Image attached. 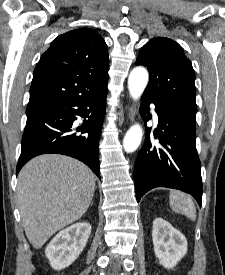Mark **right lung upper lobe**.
Wrapping results in <instances>:
<instances>
[{
  "mask_svg": "<svg viewBox=\"0 0 225 275\" xmlns=\"http://www.w3.org/2000/svg\"><path fill=\"white\" fill-rule=\"evenodd\" d=\"M106 43L94 30L82 28L58 36L40 58L27 110L98 93L108 82Z\"/></svg>",
  "mask_w": 225,
  "mask_h": 275,
  "instance_id": "obj_1",
  "label": "right lung upper lobe"
}]
</instances>
